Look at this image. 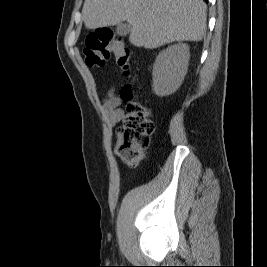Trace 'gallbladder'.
<instances>
[{
    "mask_svg": "<svg viewBox=\"0 0 267 267\" xmlns=\"http://www.w3.org/2000/svg\"><path fill=\"white\" fill-rule=\"evenodd\" d=\"M131 31V26L129 24H118L116 27V34L119 36H125Z\"/></svg>",
    "mask_w": 267,
    "mask_h": 267,
    "instance_id": "obj_1",
    "label": "gallbladder"
}]
</instances>
